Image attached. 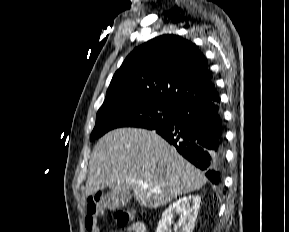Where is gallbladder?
<instances>
[{
	"label": "gallbladder",
	"instance_id": "1",
	"mask_svg": "<svg viewBox=\"0 0 289 232\" xmlns=\"http://www.w3.org/2000/svg\"><path fill=\"white\" fill-rule=\"evenodd\" d=\"M132 198V195L129 191H117L111 190L108 192L104 199L103 204L106 208L110 210L120 209L126 206Z\"/></svg>",
	"mask_w": 289,
	"mask_h": 232
}]
</instances>
